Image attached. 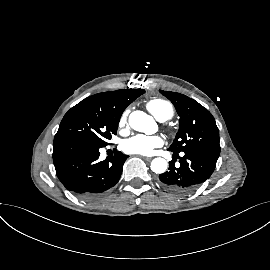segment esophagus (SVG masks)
Returning <instances> with one entry per match:
<instances>
[{
    "mask_svg": "<svg viewBox=\"0 0 270 270\" xmlns=\"http://www.w3.org/2000/svg\"><path fill=\"white\" fill-rule=\"evenodd\" d=\"M143 159L150 161L152 159V157H143Z\"/></svg>",
    "mask_w": 270,
    "mask_h": 270,
    "instance_id": "1",
    "label": "esophagus"
}]
</instances>
